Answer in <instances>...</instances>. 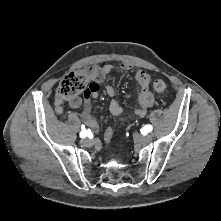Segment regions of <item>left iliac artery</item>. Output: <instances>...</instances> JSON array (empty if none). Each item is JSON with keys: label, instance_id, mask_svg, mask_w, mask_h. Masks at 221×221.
Listing matches in <instances>:
<instances>
[{"label": "left iliac artery", "instance_id": "44dca946", "mask_svg": "<svg viewBox=\"0 0 221 221\" xmlns=\"http://www.w3.org/2000/svg\"><path fill=\"white\" fill-rule=\"evenodd\" d=\"M142 130L146 133H149L153 130V127H152V125L148 124V125H145Z\"/></svg>", "mask_w": 221, "mask_h": 221}]
</instances>
